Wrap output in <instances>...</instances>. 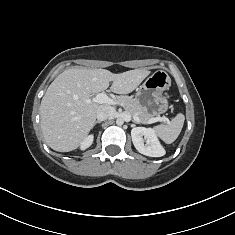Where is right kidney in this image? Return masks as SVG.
<instances>
[{"instance_id":"ca27d5eb","label":"right kidney","mask_w":235,"mask_h":235,"mask_svg":"<svg viewBox=\"0 0 235 235\" xmlns=\"http://www.w3.org/2000/svg\"><path fill=\"white\" fill-rule=\"evenodd\" d=\"M93 138H94L93 135L87 136L80 144L81 150H85L88 147H90L92 145Z\"/></svg>"}]
</instances>
